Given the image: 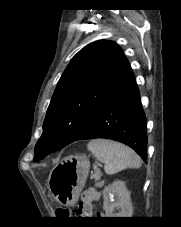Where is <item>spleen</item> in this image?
<instances>
[{
  "label": "spleen",
  "mask_w": 181,
  "mask_h": 227,
  "mask_svg": "<svg viewBox=\"0 0 181 227\" xmlns=\"http://www.w3.org/2000/svg\"><path fill=\"white\" fill-rule=\"evenodd\" d=\"M87 148L105 164L104 170L109 175L126 168H139L142 164L141 158L131 148L112 140L94 139L87 144Z\"/></svg>",
  "instance_id": "1"
}]
</instances>
